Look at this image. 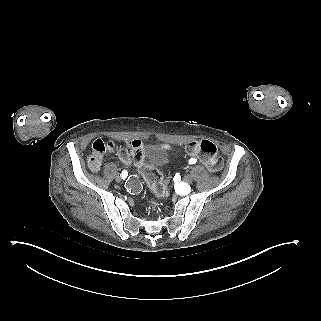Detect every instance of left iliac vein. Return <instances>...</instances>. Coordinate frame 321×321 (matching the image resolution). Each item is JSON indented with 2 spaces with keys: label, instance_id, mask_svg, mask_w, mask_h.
Masks as SVG:
<instances>
[{
  "label": "left iliac vein",
  "instance_id": "left-iliac-vein-1",
  "mask_svg": "<svg viewBox=\"0 0 321 321\" xmlns=\"http://www.w3.org/2000/svg\"><path fill=\"white\" fill-rule=\"evenodd\" d=\"M183 181H184L185 183H191V182L193 181L192 175L187 174V175L183 178Z\"/></svg>",
  "mask_w": 321,
  "mask_h": 321
}]
</instances>
